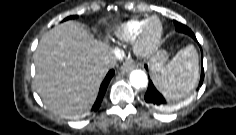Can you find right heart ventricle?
<instances>
[{
  "label": "right heart ventricle",
  "mask_w": 236,
  "mask_h": 135,
  "mask_svg": "<svg viewBox=\"0 0 236 135\" xmlns=\"http://www.w3.org/2000/svg\"><path fill=\"white\" fill-rule=\"evenodd\" d=\"M145 18L130 19L117 25L113 30V39L119 43L133 42L141 29Z\"/></svg>",
  "instance_id": "e07e8e85"
}]
</instances>
